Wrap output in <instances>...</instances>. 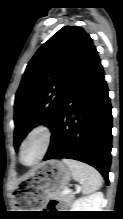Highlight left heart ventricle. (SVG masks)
<instances>
[{
	"instance_id": "1",
	"label": "left heart ventricle",
	"mask_w": 123,
	"mask_h": 219,
	"mask_svg": "<svg viewBox=\"0 0 123 219\" xmlns=\"http://www.w3.org/2000/svg\"><path fill=\"white\" fill-rule=\"evenodd\" d=\"M41 152V143L38 138L30 140L23 149L22 158L25 163L34 162Z\"/></svg>"
}]
</instances>
